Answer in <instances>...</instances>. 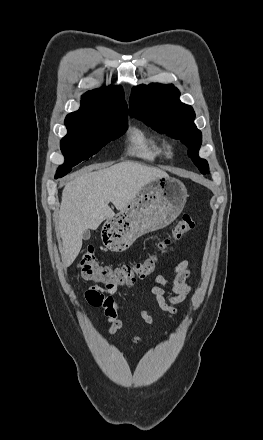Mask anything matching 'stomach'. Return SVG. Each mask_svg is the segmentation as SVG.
<instances>
[{"label": "stomach", "mask_w": 263, "mask_h": 440, "mask_svg": "<svg viewBox=\"0 0 263 440\" xmlns=\"http://www.w3.org/2000/svg\"><path fill=\"white\" fill-rule=\"evenodd\" d=\"M187 196L185 185L176 178L150 181L124 210L106 220L102 229L106 247L124 251L138 237L168 226L182 212Z\"/></svg>", "instance_id": "1"}]
</instances>
